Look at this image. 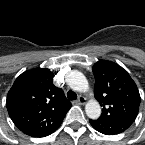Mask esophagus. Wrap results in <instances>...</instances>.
I'll list each match as a JSON object with an SVG mask.
<instances>
[{
	"mask_svg": "<svg viewBox=\"0 0 145 145\" xmlns=\"http://www.w3.org/2000/svg\"><path fill=\"white\" fill-rule=\"evenodd\" d=\"M77 104L83 105L86 103V98L83 96H79V98L76 100Z\"/></svg>",
	"mask_w": 145,
	"mask_h": 145,
	"instance_id": "34e87169",
	"label": "esophagus"
}]
</instances>
